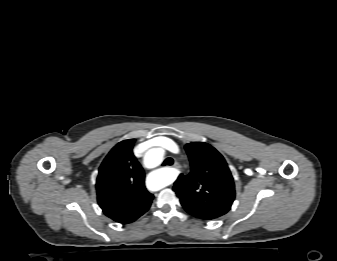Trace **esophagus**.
I'll return each instance as SVG.
<instances>
[{
    "label": "esophagus",
    "mask_w": 337,
    "mask_h": 261,
    "mask_svg": "<svg viewBox=\"0 0 337 261\" xmlns=\"http://www.w3.org/2000/svg\"><path fill=\"white\" fill-rule=\"evenodd\" d=\"M173 166H174L175 168H178V167H179V164H178V163H175Z\"/></svg>",
    "instance_id": "34e87169"
}]
</instances>
